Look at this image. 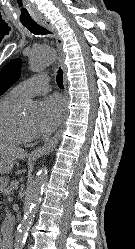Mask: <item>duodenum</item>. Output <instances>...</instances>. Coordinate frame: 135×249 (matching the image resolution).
Returning a JSON list of instances; mask_svg holds the SVG:
<instances>
[{"instance_id": "1", "label": "duodenum", "mask_w": 135, "mask_h": 249, "mask_svg": "<svg viewBox=\"0 0 135 249\" xmlns=\"http://www.w3.org/2000/svg\"><path fill=\"white\" fill-rule=\"evenodd\" d=\"M0 248L12 249V241L9 238H2L0 240Z\"/></svg>"}]
</instances>
